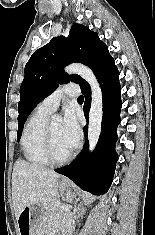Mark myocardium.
I'll return each instance as SVG.
<instances>
[{
    "instance_id": "1",
    "label": "myocardium",
    "mask_w": 155,
    "mask_h": 235,
    "mask_svg": "<svg viewBox=\"0 0 155 235\" xmlns=\"http://www.w3.org/2000/svg\"><path fill=\"white\" fill-rule=\"evenodd\" d=\"M43 151L46 159L49 163L52 164H64L70 161L74 155L73 151H71L65 157H57L53 150L52 136L50 131V124H47L44 131V144Z\"/></svg>"
}]
</instances>
